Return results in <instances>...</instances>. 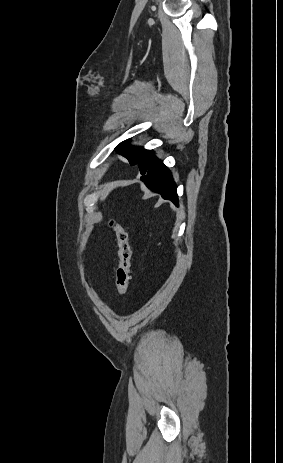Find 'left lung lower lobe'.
<instances>
[{
  "label": "left lung lower lobe",
  "instance_id": "obj_1",
  "mask_svg": "<svg viewBox=\"0 0 283 463\" xmlns=\"http://www.w3.org/2000/svg\"><path fill=\"white\" fill-rule=\"evenodd\" d=\"M137 165L142 174L141 180L145 182L147 187L160 193L164 199L171 200L175 205H178L177 187L171 173L162 161L147 150Z\"/></svg>",
  "mask_w": 283,
  "mask_h": 463
}]
</instances>
